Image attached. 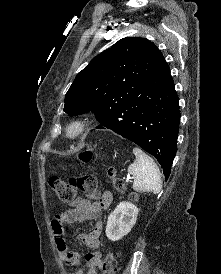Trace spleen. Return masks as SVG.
I'll return each instance as SVG.
<instances>
[{
  "label": "spleen",
  "instance_id": "1",
  "mask_svg": "<svg viewBox=\"0 0 221 274\" xmlns=\"http://www.w3.org/2000/svg\"><path fill=\"white\" fill-rule=\"evenodd\" d=\"M136 157L129 165L128 173L133 175V189L137 192L159 193L162 189L161 173L153 159L140 148H133Z\"/></svg>",
  "mask_w": 221,
  "mask_h": 274
}]
</instances>
